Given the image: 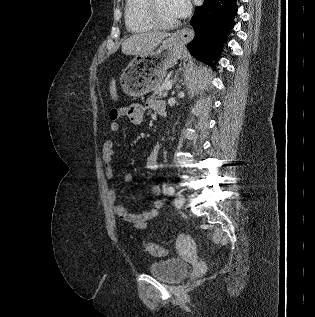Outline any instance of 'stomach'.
Segmentation results:
<instances>
[{"mask_svg": "<svg viewBox=\"0 0 315 317\" xmlns=\"http://www.w3.org/2000/svg\"><path fill=\"white\" fill-rule=\"evenodd\" d=\"M183 42L176 36L162 41L161 45L148 55H136L120 76L123 92L139 97L158 87L167 69L182 57Z\"/></svg>", "mask_w": 315, "mask_h": 317, "instance_id": "1", "label": "stomach"}]
</instances>
